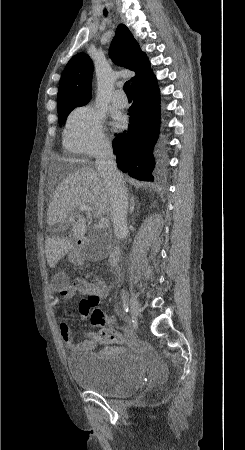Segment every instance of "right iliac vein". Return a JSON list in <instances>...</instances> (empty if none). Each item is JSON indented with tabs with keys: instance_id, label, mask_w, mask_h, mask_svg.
Instances as JSON below:
<instances>
[{
	"instance_id": "right-iliac-vein-1",
	"label": "right iliac vein",
	"mask_w": 245,
	"mask_h": 450,
	"mask_svg": "<svg viewBox=\"0 0 245 450\" xmlns=\"http://www.w3.org/2000/svg\"><path fill=\"white\" fill-rule=\"evenodd\" d=\"M130 310L132 313L133 318L138 319L140 315V305L137 299L134 296H131L130 301Z\"/></svg>"
}]
</instances>
